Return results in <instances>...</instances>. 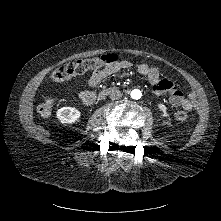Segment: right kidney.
Wrapping results in <instances>:
<instances>
[{
  "instance_id": "obj_1",
  "label": "right kidney",
  "mask_w": 221,
  "mask_h": 221,
  "mask_svg": "<svg viewBox=\"0 0 221 221\" xmlns=\"http://www.w3.org/2000/svg\"><path fill=\"white\" fill-rule=\"evenodd\" d=\"M80 111L73 107H63L57 111V118L61 123L72 124L79 120Z\"/></svg>"
}]
</instances>
